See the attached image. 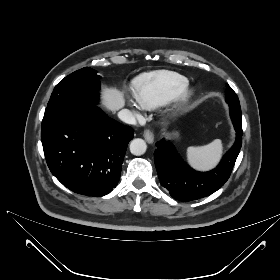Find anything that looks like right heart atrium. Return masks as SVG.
<instances>
[{
	"label": "right heart atrium",
	"instance_id": "obj_1",
	"mask_svg": "<svg viewBox=\"0 0 280 280\" xmlns=\"http://www.w3.org/2000/svg\"><path fill=\"white\" fill-rule=\"evenodd\" d=\"M129 105L131 106V108L136 113V116L139 118L140 117V107H139V105L132 99H129Z\"/></svg>",
	"mask_w": 280,
	"mask_h": 280
}]
</instances>
